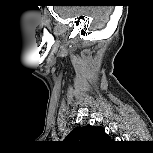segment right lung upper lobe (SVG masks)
<instances>
[{
    "instance_id": "obj_1",
    "label": "right lung upper lobe",
    "mask_w": 153,
    "mask_h": 153,
    "mask_svg": "<svg viewBox=\"0 0 153 153\" xmlns=\"http://www.w3.org/2000/svg\"><path fill=\"white\" fill-rule=\"evenodd\" d=\"M66 139L83 147H91L109 140L103 128L93 126L77 127L70 132Z\"/></svg>"
}]
</instances>
